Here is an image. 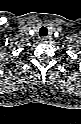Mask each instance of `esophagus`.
<instances>
[{
    "label": "esophagus",
    "instance_id": "esophagus-1",
    "mask_svg": "<svg viewBox=\"0 0 81 124\" xmlns=\"http://www.w3.org/2000/svg\"><path fill=\"white\" fill-rule=\"evenodd\" d=\"M51 39H52L51 36H46V37H42V38H41V41L48 43V42L51 41Z\"/></svg>",
    "mask_w": 81,
    "mask_h": 124
}]
</instances>
